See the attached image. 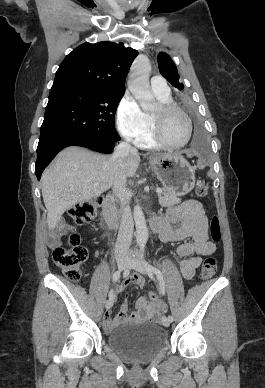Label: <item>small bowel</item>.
Returning a JSON list of instances; mask_svg holds the SVG:
<instances>
[{"instance_id": "small-bowel-1", "label": "small bowel", "mask_w": 265, "mask_h": 388, "mask_svg": "<svg viewBox=\"0 0 265 388\" xmlns=\"http://www.w3.org/2000/svg\"><path fill=\"white\" fill-rule=\"evenodd\" d=\"M165 224L160 238L164 242H182L176 248V254L180 257V271L186 280L195 275L202 262V257L212 255L216 245L208 240V219L202 204L197 200H189L180 205L170 207L165 215L160 217ZM71 226L63 219L54 223L49 232L51 246L58 244V238L69 231ZM191 239L190 241H186ZM145 279L139 274H133L123 283L118 285L113 292V298L123 292L128 286L144 287ZM138 311L128 314V302L121 305L120 312L115 318L110 312H106L103 319L104 330L109 332L115 327L127 322L158 321L160 319V306L148 303L144 297L137 302Z\"/></svg>"}]
</instances>
